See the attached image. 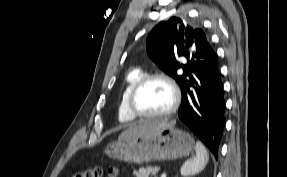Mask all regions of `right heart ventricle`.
I'll return each instance as SVG.
<instances>
[{
	"label": "right heart ventricle",
	"instance_id": "right-heart-ventricle-1",
	"mask_svg": "<svg viewBox=\"0 0 287 177\" xmlns=\"http://www.w3.org/2000/svg\"><path fill=\"white\" fill-rule=\"evenodd\" d=\"M142 76L143 73L140 69H134L128 72L124 78L118 106V117L122 122L130 123L137 118L128 108V97L132 88Z\"/></svg>",
	"mask_w": 287,
	"mask_h": 177
}]
</instances>
